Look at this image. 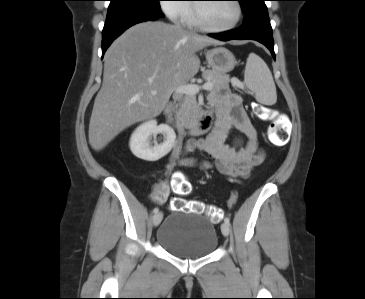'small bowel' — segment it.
Instances as JSON below:
<instances>
[{"label":"small bowel","mask_w":365,"mask_h":299,"mask_svg":"<svg viewBox=\"0 0 365 299\" xmlns=\"http://www.w3.org/2000/svg\"><path fill=\"white\" fill-rule=\"evenodd\" d=\"M211 102L216 107V122L213 131L201 140H191L187 144V150H201L215 160V166L224 175L244 179L252 170L265 159V152L258 145L256 129L250 122L246 112L242 108V99L239 95L226 92L220 94L215 91L210 95ZM235 128L243 133L247 142L239 148L230 147L225 143L228 131ZM192 165V160L184 161ZM175 161L171 160L165 173H169L174 167ZM209 164L205 163L204 167ZM170 194V187L166 180L157 183L152 195L156 203H163Z\"/></svg>","instance_id":"c3829d8e"}]
</instances>
